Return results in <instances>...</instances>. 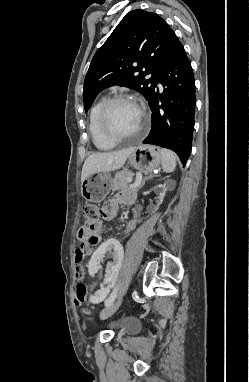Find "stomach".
Returning <instances> with one entry per match:
<instances>
[{"label": "stomach", "mask_w": 249, "mask_h": 382, "mask_svg": "<svg viewBox=\"0 0 249 382\" xmlns=\"http://www.w3.org/2000/svg\"><path fill=\"white\" fill-rule=\"evenodd\" d=\"M162 162L160 149L151 145H138L128 157L131 167L145 173H152ZM112 188L108 172H96L89 175L81 184V193L86 201L99 203L105 199Z\"/></svg>", "instance_id": "stomach-1"}]
</instances>
